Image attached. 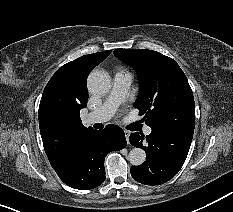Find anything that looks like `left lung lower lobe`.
Here are the masks:
<instances>
[{
  "label": "left lung lower lobe",
  "mask_w": 233,
  "mask_h": 212,
  "mask_svg": "<svg viewBox=\"0 0 233 212\" xmlns=\"http://www.w3.org/2000/svg\"><path fill=\"white\" fill-rule=\"evenodd\" d=\"M192 135L170 131H153L144 137L135 132L129 137L130 143L146 152L147 160L132 166L131 175L139 183L159 185L174 177L183 166Z\"/></svg>",
  "instance_id": "0a47b994"
}]
</instances>
